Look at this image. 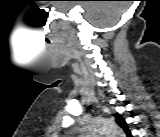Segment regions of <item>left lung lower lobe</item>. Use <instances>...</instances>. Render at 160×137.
<instances>
[{
    "mask_svg": "<svg viewBox=\"0 0 160 137\" xmlns=\"http://www.w3.org/2000/svg\"><path fill=\"white\" fill-rule=\"evenodd\" d=\"M128 136H130V132H126Z\"/></svg>",
    "mask_w": 160,
    "mask_h": 137,
    "instance_id": "0a47b994",
    "label": "left lung lower lobe"
}]
</instances>
